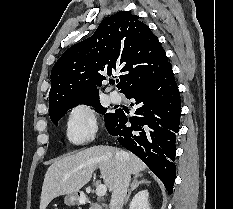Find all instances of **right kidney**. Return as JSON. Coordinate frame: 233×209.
Returning a JSON list of instances; mask_svg holds the SVG:
<instances>
[{"instance_id": "1", "label": "right kidney", "mask_w": 233, "mask_h": 209, "mask_svg": "<svg viewBox=\"0 0 233 209\" xmlns=\"http://www.w3.org/2000/svg\"><path fill=\"white\" fill-rule=\"evenodd\" d=\"M148 190L138 192L132 199L129 209H151Z\"/></svg>"}]
</instances>
